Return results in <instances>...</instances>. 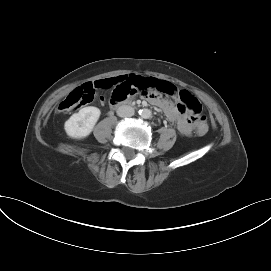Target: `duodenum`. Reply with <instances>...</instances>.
I'll use <instances>...</instances> for the list:
<instances>
[{
	"mask_svg": "<svg viewBox=\"0 0 271 271\" xmlns=\"http://www.w3.org/2000/svg\"><path fill=\"white\" fill-rule=\"evenodd\" d=\"M123 104H125V103L124 102H111V105L113 107H117V106H120V105H123Z\"/></svg>",
	"mask_w": 271,
	"mask_h": 271,
	"instance_id": "410a0bca",
	"label": "duodenum"
}]
</instances>
